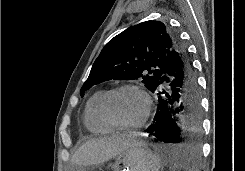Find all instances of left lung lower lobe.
I'll list each match as a JSON object with an SVG mask.
<instances>
[{
  "instance_id": "0a47b994",
  "label": "left lung lower lobe",
  "mask_w": 245,
  "mask_h": 171,
  "mask_svg": "<svg viewBox=\"0 0 245 171\" xmlns=\"http://www.w3.org/2000/svg\"><path fill=\"white\" fill-rule=\"evenodd\" d=\"M158 95V109L153 123L146 129L165 144L182 142L183 131L195 130L200 120V92L190 56L182 44L172 51L163 66V75L152 91ZM182 167H197L199 162L194 141L187 148L173 151Z\"/></svg>"
}]
</instances>
